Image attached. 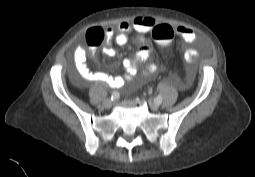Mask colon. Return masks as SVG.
Wrapping results in <instances>:
<instances>
[{"mask_svg": "<svg viewBox=\"0 0 255 177\" xmlns=\"http://www.w3.org/2000/svg\"><path fill=\"white\" fill-rule=\"evenodd\" d=\"M174 35L175 32L173 28L167 23H160L152 30L153 38L162 48L169 47L170 42L174 38ZM104 38L105 32L99 28L90 29L85 36L87 43L93 46L101 43Z\"/></svg>", "mask_w": 255, "mask_h": 177, "instance_id": "colon-1", "label": "colon"}]
</instances>
